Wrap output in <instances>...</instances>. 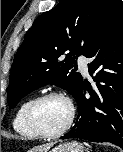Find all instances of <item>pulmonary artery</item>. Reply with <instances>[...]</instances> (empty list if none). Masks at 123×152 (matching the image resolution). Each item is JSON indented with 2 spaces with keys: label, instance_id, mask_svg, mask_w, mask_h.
<instances>
[{
  "label": "pulmonary artery",
  "instance_id": "e3ab8cb5",
  "mask_svg": "<svg viewBox=\"0 0 123 152\" xmlns=\"http://www.w3.org/2000/svg\"><path fill=\"white\" fill-rule=\"evenodd\" d=\"M78 67L83 75L88 76V63L87 60L83 57L78 59Z\"/></svg>",
  "mask_w": 123,
  "mask_h": 152
}]
</instances>
